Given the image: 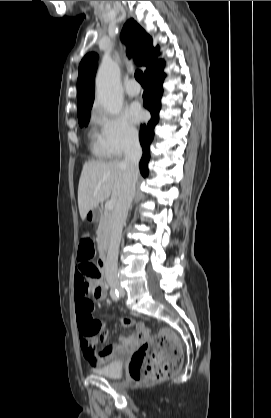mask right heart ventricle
Returning a JSON list of instances; mask_svg holds the SVG:
<instances>
[{
  "label": "right heart ventricle",
  "instance_id": "obj_1",
  "mask_svg": "<svg viewBox=\"0 0 271 418\" xmlns=\"http://www.w3.org/2000/svg\"><path fill=\"white\" fill-rule=\"evenodd\" d=\"M88 137L93 155L98 158H108L111 156L103 142L102 132L98 129V121L96 119L92 122Z\"/></svg>",
  "mask_w": 271,
  "mask_h": 418
}]
</instances>
